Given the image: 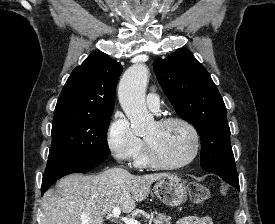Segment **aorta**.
<instances>
[{
	"label": "aorta",
	"instance_id": "obj_1",
	"mask_svg": "<svg viewBox=\"0 0 275 224\" xmlns=\"http://www.w3.org/2000/svg\"><path fill=\"white\" fill-rule=\"evenodd\" d=\"M147 83L148 68L143 63L131 66L119 83V102L136 135L147 131L154 121L145 103Z\"/></svg>",
	"mask_w": 275,
	"mask_h": 224
}]
</instances>
